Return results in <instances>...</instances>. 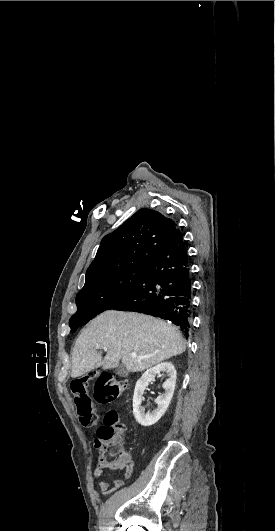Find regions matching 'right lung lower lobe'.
Instances as JSON below:
<instances>
[{
	"instance_id": "98d812e1",
	"label": "right lung lower lobe",
	"mask_w": 275,
	"mask_h": 531,
	"mask_svg": "<svg viewBox=\"0 0 275 531\" xmlns=\"http://www.w3.org/2000/svg\"><path fill=\"white\" fill-rule=\"evenodd\" d=\"M191 276L187 251L179 229L146 265L139 281L110 309L140 312L169 320L189 336L191 332Z\"/></svg>"
}]
</instances>
